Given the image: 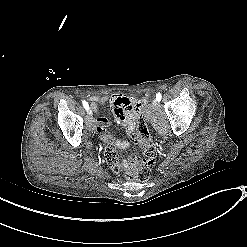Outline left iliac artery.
<instances>
[{
    "label": "left iliac artery",
    "mask_w": 247,
    "mask_h": 247,
    "mask_svg": "<svg viewBox=\"0 0 247 247\" xmlns=\"http://www.w3.org/2000/svg\"><path fill=\"white\" fill-rule=\"evenodd\" d=\"M161 97H162L161 93H160V92H159V93H157V95H156V99H157L158 101H161Z\"/></svg>",
    "instance_id": "obj_1"
}]
</instances>
